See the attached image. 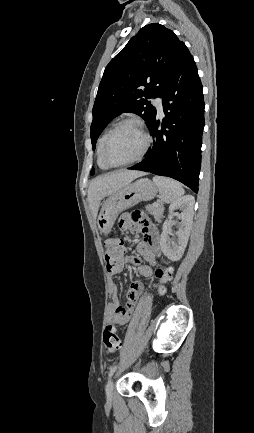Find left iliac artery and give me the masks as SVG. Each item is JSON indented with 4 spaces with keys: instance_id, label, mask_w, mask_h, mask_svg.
Listing matches in <instances>:
<instances>
[{
    "instance_id": "44dca946",
    "label": "left iliac artery",
    "mask_w": 254,
    "mask_h": 433,
    "mask_svg": "<svg viewBox=\"0 0 254 433\" xmlns=\"http://www.w3.org/2000/svg\"><path fill=\"white\" fill-rule=\"evenodd\" d=\"M116 368H117V365H114V366H112V367L110 368V371H109V377L113 375V373L115 372Z\"/></svg>"
}]
</instances>
